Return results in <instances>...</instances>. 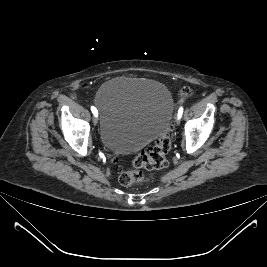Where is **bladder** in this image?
Masks as SVG:
<instances>
[{"instance_id": "31cf9c89", "label": "bladder", "mask_w": 267, "mask_h": 267, "mask_svg": "<svg viewBox=\"0 0 267 267\" xmlns=\"http://www.w3.org/2000/svg\"><path fill=\"white\" fill-rule=\"evenodd\" d=\"M95 104L102 143L119 153L135 151L160 137L169 126L174 108L165 85L128 77L104 83Z\"/></svg>"}]
</instances>
